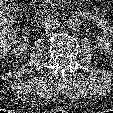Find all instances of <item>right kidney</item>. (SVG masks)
<instances>
[{"mask_svg": "<svg viewBox=\"0 0 113 113\" xmlns=\"http://www.w3.org/2000/svg\"><path fill=\"white\" fill-rule=\"evenodd\" d=\"M28 45L29 42L26 38L22 39L21 41H18L13 47V53L15 54V56H23L27 52Z\"/></svg>", "mask_w": 113, "mask_h": 113, "instance_id": "obj_1", "label": "right kidney"}]
</instances>
